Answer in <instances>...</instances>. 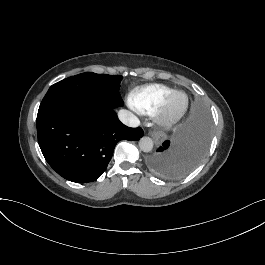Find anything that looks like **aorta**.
I'll list each match as a JSON object with an SVG mask.
<instances>
[{
  "instance_id": "762f6f07",
  "label": "aorta",
  "mask_w": 265,
  "mask_h": 265,
  "mask_svg": "<svg viewBox=\"0 0 265 265\" xmlns=\"http://www.w3.org/2000/svg\"><path fill=\"white\" fill-rule=\"evenodd\" d=\"M139 148L143 152H150L153 148V141L150 137H142L139 140Z\"/></svg>"
}]
</instances>
